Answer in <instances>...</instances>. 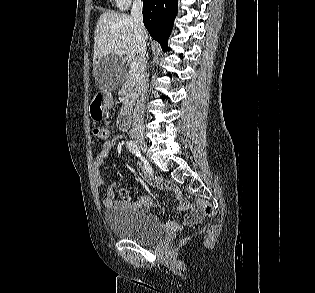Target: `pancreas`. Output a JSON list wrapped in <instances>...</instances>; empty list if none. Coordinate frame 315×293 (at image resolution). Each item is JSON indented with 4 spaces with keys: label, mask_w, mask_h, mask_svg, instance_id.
I'll return each instance as SVG.
<instances>
[{
    "label": "pancreas",
    "mask_w": 315,
    "mask_h": 293,
    "mask_svg": "<svg viewBox=\"0 0 315 293\" xmlns=\"http://www.w3.org/2000/svg\"><path fill=\"white\" fill-rule=\"evenodd\" d=\"M122 97V113H129L132 109L133 102L136 98V74L129 73L126 77L124 85L119 91Z\"/></svg>",
    "instance_id": "cf45deb5"
}]
</instances>
